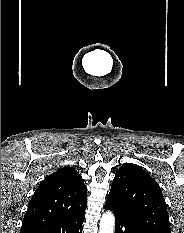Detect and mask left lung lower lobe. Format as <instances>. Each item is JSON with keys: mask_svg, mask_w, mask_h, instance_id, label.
Instances as JSON below:
<instances>
[{"mask_svg": "<svg viewBox=\"0 0 184 233\" xmlns=\"http://www.w3.org/2000/svg\"><path fill=\"white\" fill-rule=\"evenodd\" d=\"M105 209L113 211L115 215V233H145L139 225L111 202L106 201Z\"/></svg>", "mask_w": 184, "mask_h": 233, "instance_id": "left-lung-lower-lobe-1", "label": "left lung lower lobe"}]
</instances>
